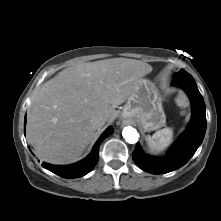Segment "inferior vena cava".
Here are the masks:
<instances>
[{
	"instance_id": "602c4592",
	"label": "inferior vena cava",
	"mask_w": 221,
	"mask_h": 221,
	"mask_svg": "<svg viewBox=\"0 0 221 221\" xmlns=\"http://www.w3.org/2000/svg\"><path fill=\"white\" fill-rule=\"evenodd\" d=\"M106 122V119L102 116H95L91 119V124L93 127H102Z\"/></svg>"
}]
</instances>
